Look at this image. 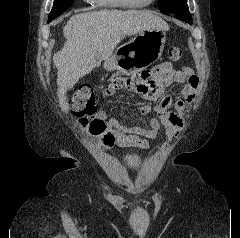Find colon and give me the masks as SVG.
I'll use <instances>...</instances> for the list:
<instances>
[{
  "mask_svg": "<svg viewBox=\"0 0 240 238\" xmlns=\"http://www.w3.org/2000/svg\"><path fill=\"white\" fill-rule=\"evenodd\" d=\"M169 58L177 61L182 56V50L172 47L168 51ZM95 88L90 84L81 85L71 98L70 108L72 114L78 118L82 128L91 135L100 137L105 145L113 141L112 135L107 131L105 121L95 118Z\"/></svg>",
  "mask_w": 240,
  "mask_h": 238,
  "instance_id": "5ec220e1",
  "label": "colon"
}]
</instances>
